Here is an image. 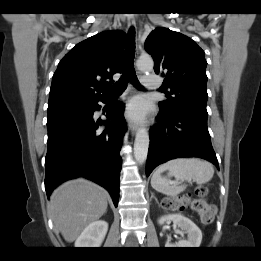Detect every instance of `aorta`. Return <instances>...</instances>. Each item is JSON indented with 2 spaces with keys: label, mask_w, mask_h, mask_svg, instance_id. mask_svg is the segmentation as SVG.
I'll return each mask as SVG.
<instances>
[{
  "label": "aorta",
  "mask_w": 261,
  "mask_h": 261,
  "mask_svg": "<svg viewBox=\"0 0 261 261\" xmlns=\"http://www.w3.org/2000/svg\"><path fill=\"white\" fill-rule=\"evenodd\" d=\"M136 65L140 71L145 72L152 71L154 63L151 57L146 56L140 57L137 60ZM149 142L150 140L147 130L145 128L138 129L134 141V157L135 160L140 164L144 163L147 159Z\"/></svg>",
  "instance_id": "1"
}]
</instances>
